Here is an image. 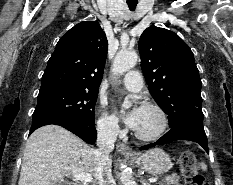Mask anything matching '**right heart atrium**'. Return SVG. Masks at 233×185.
Returning a JSON list of instances; mask_svg holds the SVG:
<instances>
[{
	"label": "right heart atrium",
	"instance_id": "d8ad5b80",
	"mask_svg": "<svg viewBox=\"0 0 233 185\" xmlns=\"http://www.w3.org/2000/svg\"><path fill=\"white\" fill-rule=\"evenodd\" d=\"M96 127L98 133L105 137L114 138L121 133L118 120L113 115L107 113L104 108L100 109Z\"/></svg>",
	"mask_w": 233,
	"mask_h": 185
}]
</instances>
